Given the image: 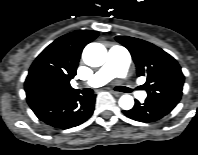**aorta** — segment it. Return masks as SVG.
<instances>
[{
	"instance_id": "obj_1",
	"label": "aorta",
	"mask_w": 198,
	"mask_h": 155,
	"mask_svg": "<svg viewBox=\"0 0 198 155\" xmlns=\"http://www.w3.org/2000/svg\"><path fill=\"white\" fill-rule=\"evenodd\" d=\"M84 62L91 67L102 66L107 58V50L100 43L88 44L82 53ZM119 106L124 110H130L134 106V99L131 95H122L118 101Z\"/></svg>"
}]
</instances>
